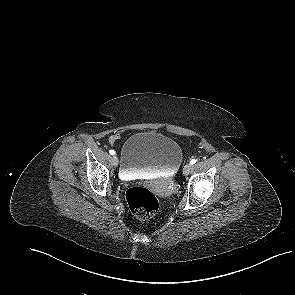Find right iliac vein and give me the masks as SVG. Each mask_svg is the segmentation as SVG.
Returning <instances> with one entry per match:
<instances>
[{
    "instance_id": "obj_1",
    "label": "right iliac vein",
    "mask_w": 295,
    "mask_h": 295,
    "mask_svg": "<svg viewBox=\"0 0 295 295\" xmlns=\"http://www.w3.org/2000/svg\"><path fill=\"white\" fill-rule=\"evenodd\" d=\"M118 163H119V160H118V157L117 156H113L112 157V164L117 167L118 166Z\"/></svg>"
}]
</instances>
